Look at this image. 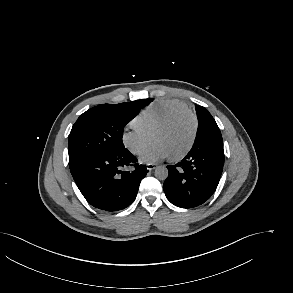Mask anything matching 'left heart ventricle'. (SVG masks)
<instances>
[{
    "label": "left heart ventricle",
    "mask_w": 293,
    "mask_h": 293,
    "mask_svg": "<svg viewBox=\"0 0 293 293\" xmlns=\"http://www.w3.org/2000/svg\"><path fill=\"white\" fill-rule=\"evenodd\" d=\"M193 133V123L190 117L179 119L170 128L156 133L152 137L153 143L163 144L170 153L175 156L186 149Z\"/></svg>",
    "instance_id": "1"
}]
</instances>
